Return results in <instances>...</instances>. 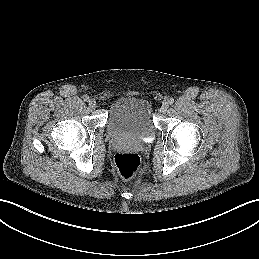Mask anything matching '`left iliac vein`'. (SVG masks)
I'll list each match as a JSON object with an SVG mask.
<instances>
[{
	"label": "left iliac vein",
	"instance_id": "obj_1",
	"mask_svg": "<svg viewBox=\"0 0 259 259\" xmlns=\"http://www.w3.org/2000/svg\"><path fill=\"white\" fill-rule=\"evenodd\" d=\"M168 108H169L168 103H167V102H164V103L162 104V106H161V112H162V113H166L167 110H168Z\"/></svg>",
	"mask_w": 259,
	"mask_h": 259
}]
</instances>
